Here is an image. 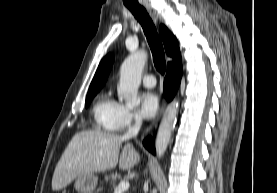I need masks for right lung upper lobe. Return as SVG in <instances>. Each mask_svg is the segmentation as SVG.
Instances as JSON below:
<instances>
[{
    "label": "right lung upper lobe",
    "instance_id": "right-lung-upper-lobe-1",
    "mask_svg": "<svg viewBox=\"0 0 277 193\" xmlns=\"http://www.w3.org/2000/svg\"><path fill=\"white\" fill-rule=\"evenodd\" d=\"M159 32L167 55L173 57V59L180 57L181 55L176 37L164 25H160ZM113 61L114 57L111 54L105 56L101 60L90 84L88 94L98 92L101 89L108 77Z\"/></svg>",
    "mask_w": 277,
    "mask_h": 193
}]
</instances>
